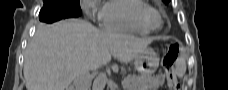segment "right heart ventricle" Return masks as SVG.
<instances>
[{
  "label": "right heart ventricle",
  "mask_w": 228,
  "mask_h": 90,
  "mask_svg": "<svg viewBox=\"0 0 228 90\" xmlns=\"http://www.w3.org/2000/svg\"><path fill=\"white\" fill-rule=\"evenodd\" d=\"M151 7L144 0H110L101 11L103 26L110 30L145 35L150 29L143 21L144 11Z\"/></svg>",
  "instance_id": "1"
}]
</instances>
